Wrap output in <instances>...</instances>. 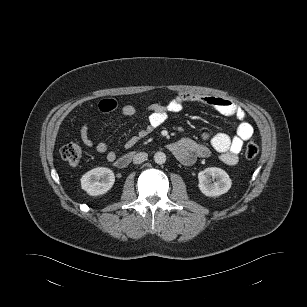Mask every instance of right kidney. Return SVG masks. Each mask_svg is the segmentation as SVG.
<instances>
[{"mask_svg": "<svg viewBox=\"0 0 307 307\" xmlns=\"http://www.w3.org/2000/svg\"><path fill=\"white\" fill-rule=\"evenodd\" d=\"M81 188L90 196H98L107 193L115 182L112 170L106 167H97L81 177Z\"/></svg>", "mask_w": 307, "mask_h": 307, "instance_id": "1", "label": "right kidney"}]
</instances>
